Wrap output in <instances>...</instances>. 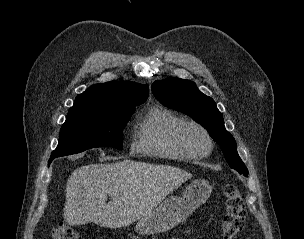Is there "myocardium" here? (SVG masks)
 <instances>
[{
    "label": "myocardium",
    "mask_w": 304,
    "mask_h": 239,
    "mask_svg": "<svg viewBox=\"0 0 304 239\" xmlns=\"http://www.w3.org/2000/svg\"><path fill=\"white\" fill-rule=\"evenodd\" d=\"M190 127L200 130L206 137L208 146L205 150L199 151V152L194 151L191 148H189L187 146V144L185 143L183 134H184V131ZM172 137H173V141H174L176 147L182 153H184L188 158H191V159H200V158H204V157L208 156L212 152L213 147H214V141H213L212 135L210 134L208 129L206 127H204L202 124H200L194 120H182L174 128Z\"/></svg>",
    "instance_id": "1"
}]
</instances>
